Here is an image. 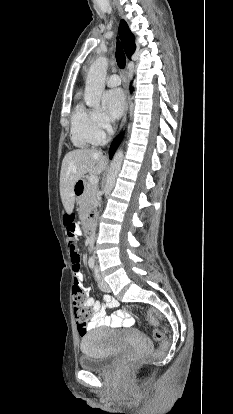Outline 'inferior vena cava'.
<instances>
[{"label": "inferior vena cava", "instance_id": "1", "mask_svg": "<svg viewBox=\"0 0 233 414\" xmlns=\"http://www.w3.org/2000/svg\"><path fill=\"white\" fill-rule=\"evenodd\" d=\"M89 238H90V243H91L90 245L92 246L93 245L92 243L95 242L96 233L95 232H90L89 233ZM91 248H92L91 251L93 252L94 251L93 250L94 247L92 246Z\"/></svg>", "mask_w": 233, "mask_h": 414}]
</instances>
